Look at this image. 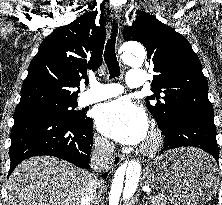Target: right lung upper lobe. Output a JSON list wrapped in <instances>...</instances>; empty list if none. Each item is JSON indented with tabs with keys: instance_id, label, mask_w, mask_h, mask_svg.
Masks as SVG:
<instances>
[{
	"instance_id": "right-lung-upper-lobe-1",
	"label": "right lung upper lobe",
	"mask_w": 222,
	"mask_h": 205,
	"mask_svg": "<svg viewBox=\"0 0 222 205\" xmlns=\"http://www.w3.org/2000/svg\"><path fill=\"white\" fill-rule=\"evenodd\" d=\"M95 12L81 15L56 28L40 45L23 82L15 112L33 109L48 101H77L80 81L87 70L102 64L106 38L104 19L95 25Z\"/></svg>"
}]
</instances>
